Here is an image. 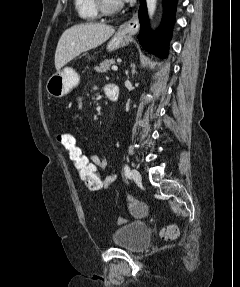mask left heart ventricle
<instances>
[{
	"label": "left heart ventricle",
	"instance_id": "b2bd125f",
	"mask_svg": "<svg viewBox=\"0 0 240 287\" xmlns=\"http://www.w3.org/2000/svg\"><path fill=\"white\" fill-rule=\"evenodd\" d=\"M107 2H108L109 4H115V3L118 2V0H107Z\"/></svg>",
	"mask_w": 240,
	"mask_h": 287
}]
</instances>
